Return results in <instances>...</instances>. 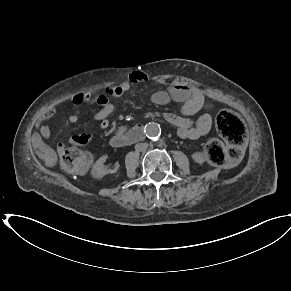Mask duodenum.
<instances>
[{
    "label": "duodenum",
    "mask_w": 291,
    "mask_h": 291,
    "mask_svg": "<svg viewBox=\"0 0 291 291\" xmlns=\"http://www.w3.org/2000/svg\"><path fill=\"white\" fill-rule=\"evenodd\" d=\"M144 137V128L138 125L127 132L125 135H118L111 139L110 144L112 147L120 148L125 147L135 142L140 141Z\"/></svg>",
    "instance_id": "duodenum-1"
}]
</instances>
